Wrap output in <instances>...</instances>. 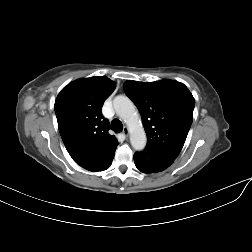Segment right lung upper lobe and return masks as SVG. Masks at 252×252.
<instances>
[{
  "instance_id": "1",
  "label": "right lung upper lobe",
  "mask_w": 252,
  "mask_h": 252,
  "mask_svg": "<svg viewBox=\"0 0 252 252\" xmlns=\"http://www.w3.org/2000/svg\"><path fill=\"white\" fill-rule=\"evenodd\" d=\"M114 89L115 83L104 76L78 79L65 86L55 101L64 145L73 160L89 171L109 168L118 145L101 112Z\"/></svg>"
}]
</instances>
